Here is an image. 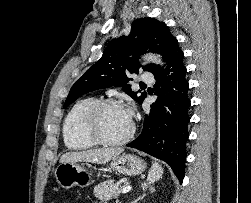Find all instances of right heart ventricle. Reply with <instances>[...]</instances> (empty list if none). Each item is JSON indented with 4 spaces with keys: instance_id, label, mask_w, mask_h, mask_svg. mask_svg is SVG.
<instances>
[{
    "instance_id": "e07e8e85",
    "label": "right heart ventricle",
    "mask_w": 251,
    "mask_h": 203,
    "mask_svg": "<svg viewBox=\"0 0 251 203\" xmlns=\"http://www.w3.org/2000/svg\"><path fill=\"white\" fill-rule=\"evenodd\" d=\"M96 102L93 97L78 100L67 112L62 126L65 145L71 150H86L96 143L83 130V120L87 110Z\"/></svg>"
}]
</instances>
